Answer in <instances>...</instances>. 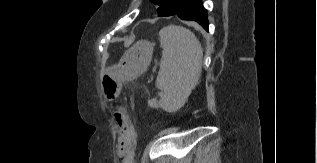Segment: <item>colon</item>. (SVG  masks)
Wrapping results in <instances>:
<instances>
[{
  "mask_svg": "<svg viewBox=\"0 0 317 163\" xmlns=\"http://www.w3.org/2000/svg\"><path fill=\"white\" fill-rule=\"evenodd\" d=\"M105 95L108 100H115L120 94V84L113 78H108L103 83Z\"/></svg>",
  "mask_w": 317,
  "mask_h": 163,
  "instance_id": "1",
  "label": "colon"
}]
</instances>
